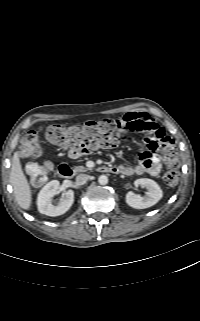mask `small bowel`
Instances as JSON below:
<instances>
[{"instance_id": "1", "label": "small bowel", "mask_w": 200, "mask_h": 321, "mask_svg": "<svg viewBox=\"0 0 200 321\" xmlns=\"http://www.w3.org/2000/svg\"><path fill=\"white\" fill-rule=\"evenodd\" d=\"M119 119L123 123L129 124V131L146 132V150L139 154L138 163L134 166H117L119 173L127 176L143 174L157 176L162 169V158H164V153L168 148L172 147V139L147 113L129 112Z\"/></svg>"}]
</instances>
